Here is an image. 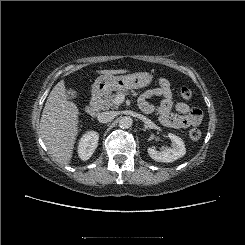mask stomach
Returning <instances> with one entry per match:
<instances>
[{
  "instance_id": "0dacf381",
  "label": "stomach",
  "mask_w": 245,
  "mask_h": 245,
  "mask_svg": "<svg viewBox=\"0 0 245 245\" xmlns=\"http://www.w3.org/2000/svg\"><path fill=\"white\" fill-rule=\"evenodd\" d=\"M153 76L147 72H137L128 75H102L94 84L93 90L97 94H105L114 90H131L147 87L151 84Z\"/></svg>"
}]
</instances>
